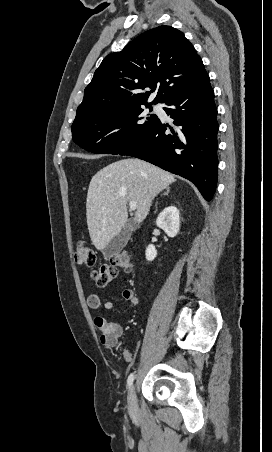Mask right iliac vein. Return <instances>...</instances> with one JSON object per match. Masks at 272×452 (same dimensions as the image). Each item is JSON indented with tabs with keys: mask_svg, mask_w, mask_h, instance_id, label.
<instances>
[{
	"mask_svg": "<svg viewBox=\"0 0 272 452\" xmlns=\"http://www.w3.org/2000/svg\"><path fill=\"white\" fill-rule=\"evenodd\" d=\"M127 401H128V408H129V412L132 415H135L137 413V401H136V392H135V386L132 385L130 387L129 393H128V397H127Z\"/></svg>",
	"mask_w": 272,
	"mask_h": 452,
	"instance_id": "obj_1",
	"label": "right iliac vein"
}]
</instances>
